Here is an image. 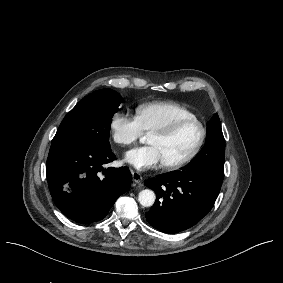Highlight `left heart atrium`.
I'll use <instances>...</instances> for the list:
<instances>
[{"label": "left heart atrium", "instance_id": "left-heart-atrium-1", "mask_svg": "<svg viewBox=\"0 0 283 283\" xmlns=\"http://www.w3.org/2000/svg\"><path fill=\"white\" fill-rule=\"evenodd\" d=\"M125 159L138 170L157 169L165 164L160 148L153 145L133 148L126 152Z\"/></svg>", "mask_w": 283, "mask_h": 283}]
</instances>
